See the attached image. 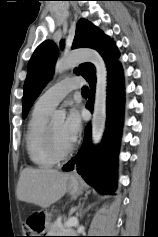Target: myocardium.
<instances>
[{"label": "myocardium", "mask_w": 158, "mask_h": 237, "mask_svg": "<svg viewBox=\"0 0 158 237\" xmlns=\"http://www.w3.org/2000/svg\"><path fill=\"white\" fill-rule=\"evenodd\" d=\"M43 140H44V146H45V149H46L48 155L55 162L67 159L72 154V152L74 150V147L72 145L65 152H59L56 149L54 141H53V137H52L50 123H48L45 127Z\"/></svg>", "instance_id": "obj_1"}]
</instances>
